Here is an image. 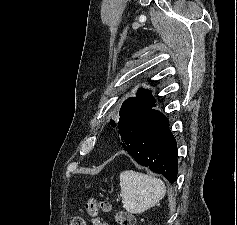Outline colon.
<instances>
[{"instance_id":"obj_1","label":"colon","mask_w":237,"mask_h":225,"mask_svg":"<svg viewBox=\"0 0 237 225\" xmlns=\"http://www.w3.org/2000/svg\"><path fill=\"white\" fill-rule=\"evenodd\" d=\"M86 210L92 217L96 216L100 211L109 212L111 205L108 202L97 199H89L86 203ZM116 221L119 225H135L134 217L124 211H118ZM69 225H86L84 218L75 215L70 218Z\"/></svg>"}]
</instances>
